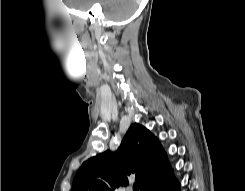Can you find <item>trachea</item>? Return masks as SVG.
Returning <instances> with one entry per match:
<instances>
[{"label": "trachea", "mask_w": 245, "mask_h": 191, "mask_svg": "<svg viewBox=\"0 0 245 191\" xmlns=\"http://www.w3.org/2000/svg\"><path fill=\"white\" fill-rule=\"evenodd\" d=\"M133 189H134V191H139V184L138 183H135L133 185Z\"/></svg>", "instance_id": "obj_1"}]
</instances>
